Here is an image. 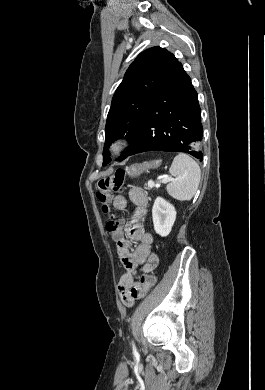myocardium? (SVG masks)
I'll list each match as a JSON object with an SVG mask.
<instances>
[{"label": "myocardium", "mask_w": 265, "mask_h": 390, "mask_svg": "<svg viewBox=\"0 0 265 390\" xmlns=\"http://www.w3.org/2000/svg\"><path fill=\"white\" fill-rule=\"evenodd\" d=\"M127 145V139L125 137L116 138L110 146V152L112 155L117 156L125 149Z\"/></svg>", "instance_id": "1"}]
</instances>
